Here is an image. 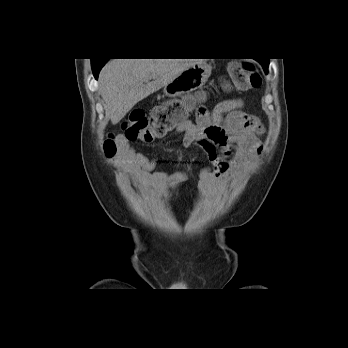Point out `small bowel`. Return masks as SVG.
I'll return each mask as SVG.
<instances>
[{
	"label": "small bowel",
	"instance_id": "small-bowel-1",
	"mask_svg": "<svg viewBox=\"0 0 348 348\" xmlns=\"http://www.w3.org/2000/svg\"><path fill=\"white\" fill-rule=\"evenodd\" d=\"M241 98L219 102L212 112L205 107L197 111L196 121H186L176 128L184 147L200 146L210 164L199 174L198 190L202 194L218 193L242 179L262 150L260 135L264 128L259 119L245 113ZM119 153L114 162L121 172L146 191L157 188L170 195L187 179L185 171H157V161L118 138Z\"/></svg>",
	"mask_w": 348,
	"mask_h": 348
}]
</instances>
